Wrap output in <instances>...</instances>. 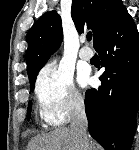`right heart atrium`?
Listing matches in <instances>:
<instances>
[{
    "label": "right heart atrium",
    "mask_w": 139,
    "mask_h": 150,
    "mask_svg": "<svg viewBox=\"0 0 139 150\" xmlns=\"http://www.w3.org/2000/svg\"><path fill=\"white\" fill-rule=\"evenodd\" d=\"M35 94L42 119L60 126L79 114L84 100L74 85L72 73L61 66L48 65L39 73Z\"/></svg>",
    "instance_id": "right-heart-atrium-1"
}]
</instances>
